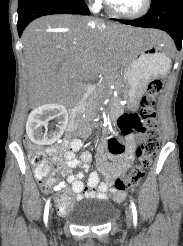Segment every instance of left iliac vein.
<instances>
[{
  "instance_id": "1",
  "label": "left iliac vein",
  "mask_w": 183,
  "mask_h": 246,
  "mask_svg": "<svg viewBox=\"0 0 183 246\" xmlns=\"http://www.w3.org/2000/svg\"><path fill=\"white\" fill-rule=\"evenodd\" d=\"M125 216H126L127 226L130 227L132 224V212H131V209L129 207H126Z\"/></svg>"
}]
</instances>
